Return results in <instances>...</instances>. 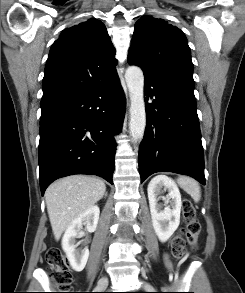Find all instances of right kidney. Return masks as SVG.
Returning <instances> with one entry per match:
<instances>
[{
	"label": "right kidney",
	"instance_id": "1",
	"mask_svg": "<svg viewBox=\"0 0 245 293\" xmlns=\"http://www.w3.org/2000/svg\"><path fill=\"white\" fill-rule=\"evenodd\" d=\"M99 214V207L91 206L77 218L72 220L62 238V248L66 253L71 267L77 272H80L85 268L89 257V250L87 247L77 249L75 238L78 236L83 223H85L88 232H94L97 228Z\"/></svg>",
	"mask_w": 245,
	"mask_h": 293
}]
</instances>
